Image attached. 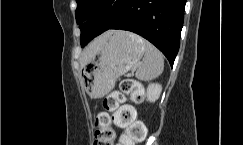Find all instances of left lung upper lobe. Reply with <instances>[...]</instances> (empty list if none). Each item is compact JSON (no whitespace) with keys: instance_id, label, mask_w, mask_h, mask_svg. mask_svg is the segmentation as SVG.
Returning <instances> with one entry per match:
<instances>
[{"instance_id":"1","label":"left lung upper lobe","mask_w":243,"mask_h":145,"mask_svg":"<svg viewBox=\"0 0 243 145\" xmlns=\"http://www.w3.org/2000/svg\"><path fill=\"white\" fill-rule=\"evenodd\" d=\"M124 0H76L77 9L75 11L77 24L81 29L80 43L89 34V28L86 22L94 14L98 19L102 17H112L120 9Z\"/></svg>"}]
</instances>
